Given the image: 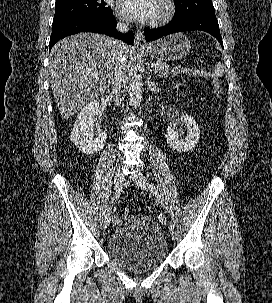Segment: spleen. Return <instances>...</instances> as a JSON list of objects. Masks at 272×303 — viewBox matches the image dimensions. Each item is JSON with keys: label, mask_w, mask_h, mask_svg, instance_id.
Here are the masks:
<instances>
[{"label": "spleen", "mask_w": 272, "mask_h": 303, "mask_svg": "<svg viewBox=\"0 0 272 303\" xmlns=\"http://www.w3.org/2000/svg\"><path fill=\"white\" fill-rule=\"evenodd\" d=\"M223 74H224V67L222 66V64L221 63L215 64L212 76L218 78V77H222Z\"/></svg>", "instance_id": "spleen-1"}]
</instances>
